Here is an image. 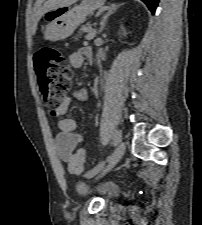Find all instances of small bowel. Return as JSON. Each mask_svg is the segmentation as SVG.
I'll use <instances>...</instances> for the list:
<instances>
[{
    "mask_svg": "<svg viewBox=\"0 0 202 225\" xmlns=\"http://www.w3.org/2000/svg\"><path fill=\"white\" fill-rule=\"evenodd\" d=\"M90 53H92V50L88 46L79 48L69 56L70 65L80 68ZM76 94L81 100L87 99L86 93L82 90L77 91ZM69 103L70 99L66 97L60 105L58 112L54 115L58 119L60 130V133L55 138V150L57 157L69 165L74 159H79V167L74 173L80 174L84 169L85 162L84 150L81 148L84 138L77 130L76 120L66 117Z\"/></svg>",
    "mask_w": 202,
    "mask_h": 225,
    "instance_id": "1",
    "label": "small bowel"
}]
</instances>
